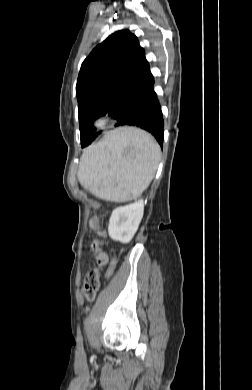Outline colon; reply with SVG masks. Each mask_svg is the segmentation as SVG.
Segmentation results:
<instances>
[{
    "label": "colon",
    "instance_id": "obj_1",
    "mask_svg": "<svg viewBox=\"0 0 252 390\" xmlns=\"http://www.w3.org/2000/svg\"><path fill=\"white\" fill-rule=\"evenodd\" d=\"M97 227H98V234L103 235V230L100 228V218L95 217L94 218ZM102 245V241L100 239H95L92 243V250L97 253L100 250V247ZM115 262V259H113V263ZM100 287V280H99V271L96 268H92L89 270L86 278L85 283L83 287V294L87 300H93L99 290Z\"/></svg>",
    "mask_w": 252,
    "mask_h": 390
}]
</instances>
